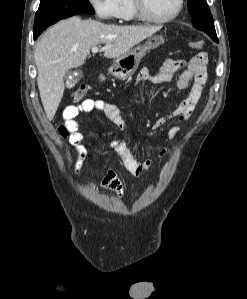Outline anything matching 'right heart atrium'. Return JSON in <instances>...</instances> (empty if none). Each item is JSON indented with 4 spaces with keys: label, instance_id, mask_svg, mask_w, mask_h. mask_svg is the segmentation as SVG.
Returning <instances> with one entry per match:
<instances>
[{
    "label": "right heart atrium",
    "instance_id": "obj_1",
    "mask_svg": "<svg viewBox=\"0 0 247 299\" xmlns=\"http://www.w3.org/2000/svg\"><path fill=\"white\" fill-rule=\"evenodd\" d=\"M118 0H88L99 19L112 20L117 17Z\"/></svg>",
    "mask_w": 247,
    "mask_h": 299
}]
</instances>
